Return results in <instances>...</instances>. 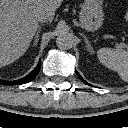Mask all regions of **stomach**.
<instances>
[{
  "label": "stomach",
  "mask_w": 128,
  "mask_h": 128,
  "mask_svg": "<svg viewBox=\"0 0 128 128\" xmlns=\"http://www.w3.org/2000/svg\"><path fill=\"white\" fill-rule=\"evenodd\" d=\"M103 0H84L79 18L82 26L88 31H95L101 27L103 23Z\"/></svg>",
  "instance_id": "stomach-1"
}]
</instances>
